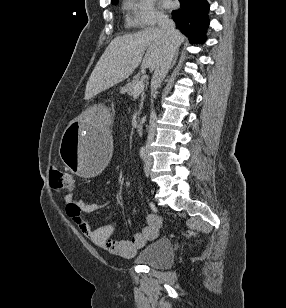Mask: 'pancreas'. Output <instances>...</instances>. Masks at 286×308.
<instances>
[{
	"label": "pancreas",
	"mask_w": 286,
	"mask_h": 308,
	"mask_svg": "<svg viewBox=\"0 0 286 308\" xmlns=\"http://www.w3.org/2000/svg\"><path fill=\"white\" fill-rule=\"evenodd\" d=\"M140 81L138 77L133 79L130 83L126 84L124 87L121 88L122 94H128L130 96L134 95V86ZM144 100V93L142 94L141 101Z\"/></svg>",
	"instance_id": "cf45deb5"
}]
</instances>
